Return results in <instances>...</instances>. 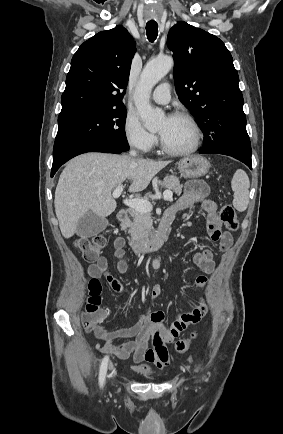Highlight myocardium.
<instances>
[{
  "label": "myocardium",
  "instance_id": "obj_1",
  "mask_svg": "<svg viewBox=\"0 0 283 434\" xmlns=\"http://www.w3.org/2000/svg\"><path fill=\"white\" fill-rule=\"evenodd\" d=\"M169 118H180V119H184L185 121L188 122V124L190 125L192 132H193V141L192 144L186 148V149H172L170 148L162 139V137H160V146L162 148V150L172 156H187V155H191L194 152H196L198 150V148L200 147L201 144V139H202V133H201V129L200 126L198 124V122L196 121V119L188 112L186 111H176L174 113H172Z\"/></svg>",
  "mask_w": 283,
  "mask_h": 434
}]
</instances>
